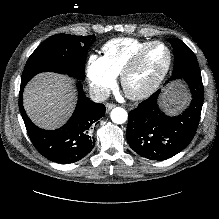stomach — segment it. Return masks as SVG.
I'll list each match as a JSON object with an SVG mask.
<instances>
[{
	"instance_id": "0dacf381",
	"label": "stomach",
	"mask_w": 219,
	"mask_h": 219,
	"mask_svg": "<svg viewBox=\"0 0 219 219\" xmlns=\"http://www.w3.org/2000/svg\"><path fill=\"white\" fill-rule=\"evenodd\" d=\"M175 94H176L175 92H170V93H169V96L175 97Z\"/></svg>"
}]
</instances>
